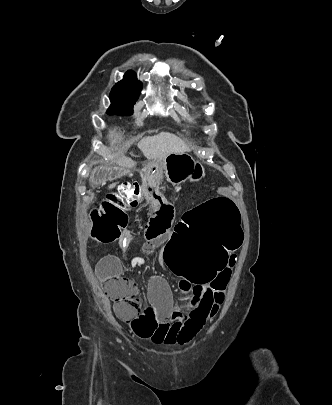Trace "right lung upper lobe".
Masks as SVG:
<instances>
[{"label": "right lung upper lobe", "mask_w": 332, "mask_h": 405, "mask_svg": "<svg viewBox=\"0 0 332 405\" xmlns=\"http://www.w3.org/2000/svg\"><path fill=\"white\" fill-rule=\"evenodd\" d=\"M119 83L133 89L141 90V82L137 80L136 74L133 71H128Z\"/></svg>", "instance_id": "1"}]
</instances>
